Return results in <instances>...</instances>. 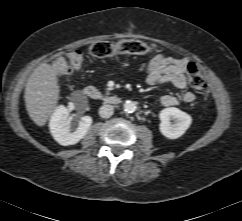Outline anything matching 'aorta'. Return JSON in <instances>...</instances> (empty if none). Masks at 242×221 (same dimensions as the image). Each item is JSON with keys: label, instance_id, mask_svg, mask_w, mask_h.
I'll list each match as a JSON object with an SVG mask.
<instances>
[{"label": "aorta", "instance_id": "1", "mask_svg": "<svg viewBox=\"0 0 242 221\" xmlns=\"http://www.w3.org/2000/svg\"><path fill=\"white\" fill-rule=\"evenodd\" d=\"M124 111L127 113H133L136 110V103L133 101H126L123 105Z\"/></svg>", "mask_w": 242, "mask_h": 221}]
</instances>
